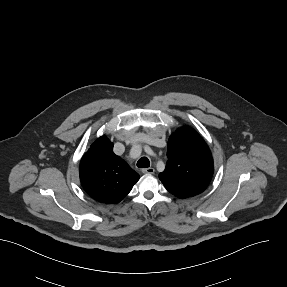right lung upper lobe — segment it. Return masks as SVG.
I'll use <instances>...</instances> for the list:
<instances>
[{
    "label": "right lung upper lobe",
    "mask_w": 287,
    "mask_h": 287,
    "mask_svg": "<svg viewBox=\"0 0 287 287\" xmlns=\"http://www.w3.org/2000/svg\"><path fill=\"white\" fill-rule=\"evenodd\" d=\"M139 175L113 152V143L103 135L80 162V181L89 196L101 203H118L131 191Z\"/></svg>",
    "instance_id": "1"
}]
</instances>
